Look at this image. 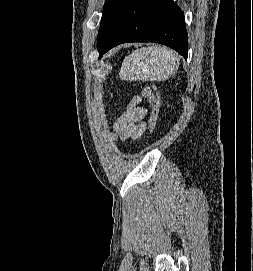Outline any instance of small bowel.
<instances>
[{"label":"small bowel","instance_id":"small-bowel-1","mask_svg":"<svg viewBox=\"0 0 253 271\" xmlns=\"http://www.w3.org/2000/svg\"><path fill=\"white\" fill-rule=\"evenodd\" d=\"M145 115V110L134 103L127 106L114 124L116 136L121 141L139 139L147 128Z\"/></svg>","mask_w":253,"mask_h":271}]
</instances>
